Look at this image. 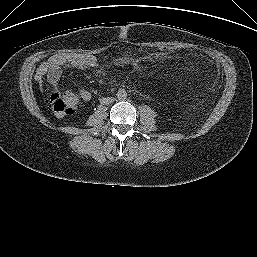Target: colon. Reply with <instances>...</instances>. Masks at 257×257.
Returning <instances> with one entry per match:
<instances>
[{
  "instance_id": "1",
  "label": "colon",
  "mask_w": 257,
  "mask_h": 257,
  "mask_svg": "<svg viewBox=\"0 0 257 257\" xmlns=\"http://www.w3.org/2000/svg\"><path fill=\"white\" fill-rule=\"evenodd\" d=\"M160 52L169 55L173 52L171 46H162ZM81 101L78 94L72 92H53L49 97L51 109L57 115H71L76 112Z\"/></svg>"
}]
</instances>
